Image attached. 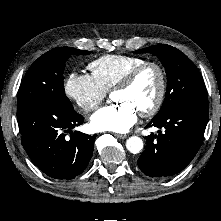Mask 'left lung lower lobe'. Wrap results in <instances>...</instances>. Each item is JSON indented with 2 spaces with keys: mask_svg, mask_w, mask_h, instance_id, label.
<instances>
[{
  "mask_svg": "<svg viewBox=\"0 0 221 221\" xmlns=\"http://www.w3.org/2000/svg\"><path fill=\"white\" fill-rule=\"evenodd\" d=\"M208 121V99L185 102L146 127L164 128L146 137V150L137 163L150 177H168L182 171L198 152Z\"/></svg>",
  "mask_w": 221,
  "mask_h": 221,
  "instance_id": "obj_1",
  "label": "left lung lower lobe"
}]
</instances>
